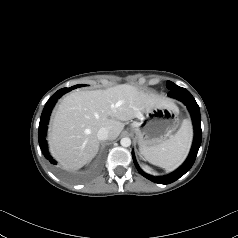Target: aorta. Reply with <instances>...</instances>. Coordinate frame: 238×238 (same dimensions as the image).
<instances>
[{
  "label": "aorta",
  "mask_w": 238,
  "mask_h": 238,
  "mask_svg": "<svg viewBox=\"0 0 238 238\" xmlns=\"http://www.w3.org/2000/svg\"><path fill=\"white\" fill-rule=\"evenodd\" d=\"M120 144L123 147H129L131 145V139L128 138V137H124V138L121 139Z\"/></svg>",
  "instance_id": "1"
}]
</instances>
